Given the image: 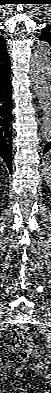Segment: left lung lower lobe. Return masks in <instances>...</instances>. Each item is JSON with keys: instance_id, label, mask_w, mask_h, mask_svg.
Returning a JSON list of instances; mask_svg holds the SVG:
<instances>
[{"instance_id": "obj_1", "label": "left lung lower lobe", "mask_w": 51, "mask_h": 393, "mask_svg": "<svg viewBox=\"0 0 51 393\" xmlns=\"http://www.w3.org/2000/svg\"><path fill=\"white\" fill-rule=\"evenodd\" d=\"M51 149V142H49V143H47L46 144V146H45V148H44V151H43V154H45L48 150H50Z\"/></svg>"}]
</instances>
